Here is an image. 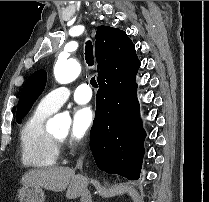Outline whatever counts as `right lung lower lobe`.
Returning a JSON list of instances; mask_svg holds the SVG:
<instances>
[{"label": "right lung lower lobe", "instance_id": "obj_1", "mask_svg": "<svg viewBox=\"0 0 209 202\" xmlns=\"http://www.w3.org/2000/svg\"><path fill=\"white\" fill-rule=\"evenodd\" d=\"M90 149L100 170L129 180L140 177L145 132L139 115L135 79L123 86L99 85Z\"/></svg>", "mask_w": 209, "mask_h": 202}]
</instances>
